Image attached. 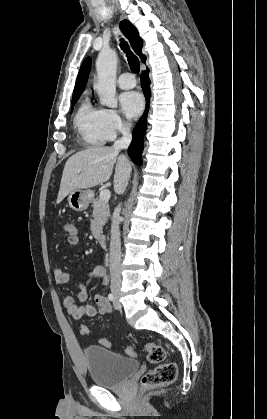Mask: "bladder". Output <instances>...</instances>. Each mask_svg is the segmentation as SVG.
Returning <instances> with one entry per match:
<instances>
[{"mask_svg":"<svg viewBox=\"0 0 267 419\" xmlns=\"http://www.w3.org/2000/svg\"><path fill=\"white\" fill-rule=\"evenodd\" d=\"M88 374L92 382L105 388L123 385L139 369V362L99 345L84 349Z\"/></svg>","mask_w":267,"mask_h":419,"instance_id":"31cf9c89","label":"bladder"}]
</instances>
